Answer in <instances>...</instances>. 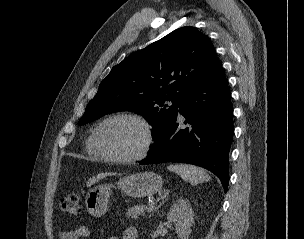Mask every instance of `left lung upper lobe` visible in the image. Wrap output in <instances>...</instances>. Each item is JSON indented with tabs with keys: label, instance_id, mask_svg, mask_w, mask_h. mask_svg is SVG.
Here are the masks:
<instances>
[{
	"label": "left lung upper lobe",
	"instance_id": "left-lung-upper-lobe-1",
	"mask_svg": "<svg viewBox=\"0 0 304 239\" xmlns=\"http://www.w3.org/2000/svg\"><path fill=\"white\" fill-rule=\"evenodd\" d=\"M215 60L206 35L191 26L176 29L114 66L78 124L113 112L133 111L153 126L156 141Z\"/></svg>",
	"mask_w": 304,
	"mask_h": 239
}]
</instances>
